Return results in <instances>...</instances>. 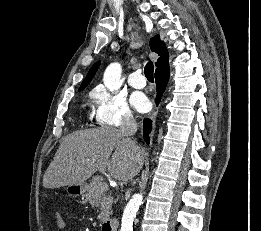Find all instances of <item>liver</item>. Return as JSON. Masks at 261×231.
Segmentation results:
<instances>
[{
	"label": "liver",
	"instance_id": "obj_1",
	"mask_svg": "<svg viewBox=\"0 0 261 231\" xmlns=\"http://www.w3.org/2000/svg\"><path fill=\"white\" fill-rule=\"evenodd\" d=\"M145 157V152L128 143L117 128L74 132L62 141L44 174L43 186L83 184L96 171H107L114 179L127 181L140 172Z\"/></svg>",
	"mask_w": 261,
	"mask_h": 231
}]
</instances>
